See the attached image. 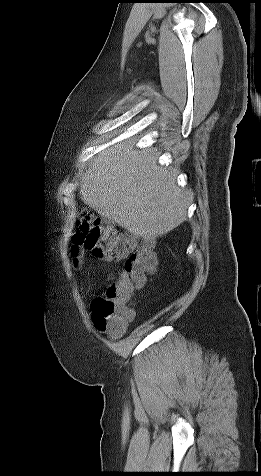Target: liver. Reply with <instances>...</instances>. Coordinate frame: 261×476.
<instances>
[{
  "label": "liver",
  "instance_id": "liver-1",
  "mask_svg": "<svg viewBox=\"0 0 261 476\" xmlns=\"http://www.w3.org/2000/svg\"><path fill=\"white\" fill-rule=\"evenodd\" d=\"M178 172L159 164L154 148L134 139L96 156L82 177L83 202L102 217L146 240L167 234L187 217L192 194L177 184Z\"/></svg>",
  "mask_w": 261,
  "mask_h": 476
}]
</instances>
